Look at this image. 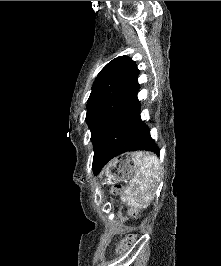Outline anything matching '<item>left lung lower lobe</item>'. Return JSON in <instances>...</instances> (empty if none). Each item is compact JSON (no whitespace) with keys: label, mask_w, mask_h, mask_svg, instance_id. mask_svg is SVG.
Masks as SVG:
<instances>
[{"label":"left lung lower lobe","mask_w":221,"mask_h":266,"mask_svg":"<svg viewBox=\"0 0 221 266\" xmlns=\"http://www.w3.org/2000/svg\"><path fill=\"white\" fill-rule=\"evenodd\" d=\"M138 90L125 101L110 122L94 153V174L97 175L112 158L125 152L147 150L159 155L160 150L140 117Z\"/></svg>","instance_id":"left-lung-lower-lobe-1"}]
</instances>
